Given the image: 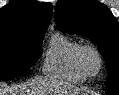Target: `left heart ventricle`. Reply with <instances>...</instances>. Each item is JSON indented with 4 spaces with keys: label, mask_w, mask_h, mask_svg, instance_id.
Listing matches in <instances>:
<instances>
[{
    "label": "left heart ventricle",
    "mask_w": 119,
    "mask_h": 95,
    "mask_svg": "<svg viewBox=\"0 0 119 95\" xmlns=\"http://www.w3.org/2000/svg\"><path fill=\"white\" fill-rule=\"evenodd\" d=\"M86 63L92 71H95L98 68V60L92 53L86 55Z\"/></svg>",
    "instance_id": "left-heart-ventricle-1"
}]
</instances>
